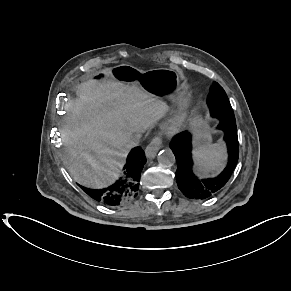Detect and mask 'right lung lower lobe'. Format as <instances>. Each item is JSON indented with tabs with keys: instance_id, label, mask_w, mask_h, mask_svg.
I'll list each match as a JSON object with an SVG mask.
<instances>
[{
	"instance_id": "98d812e1",
	"label": "right lung lower lobe",
	"mask_w": 291,
	"mask_h": 291,
	"mask_svg": "<svg viewBox=\"0 0 291 291\" xmlns=\"http://www.w3.org/2000/svg\"><path fill=\"white\" fill-rule=\"evenodd\" d=\"M146 163L145 153L140 147H135L129 153L123 168V176L113 185L104 189H89L82 187L95 201L106 206H119L131 201L137 196L140 174Z\"/></svg>"
}]
</instances>
